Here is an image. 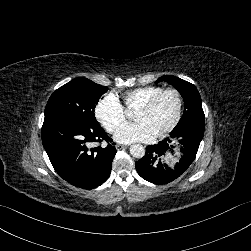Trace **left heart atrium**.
Listing matches in <instances>:
<instances>
[{"label":"left heart atrium","instance_id":"left-heart-atrium-1","mask_svg":"<svg viewBox=\"0 0 251 251\" xmlns=\"http://www.w3.org/2000/svg\"><path fill=\"white\" fill-rule=\"evenodd\" d=\"M158 133L149 119H142L121 125L115 133V139L121 143L150 142L158 136Z\"/></svg>","mask_w":251,"mask_h":251}]
</instances>
